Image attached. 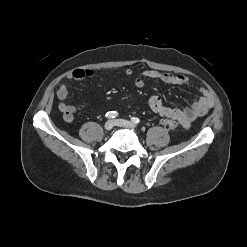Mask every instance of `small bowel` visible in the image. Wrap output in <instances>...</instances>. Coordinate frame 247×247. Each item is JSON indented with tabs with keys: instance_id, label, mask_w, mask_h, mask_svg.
<instances>
[{
	"instance_id": "1",
	"label": "small bowel",
	"mask_w": 247,
	"mask_h": 247,
	"mask_svg": "<svg viewBox=\"0 0 247 247\" xmlns=\"http://www.w3.org/2000/svg\"><path fill=\"white\" fill-rule=\"evenodd\" d=\"M93 74V71L90 69H75L68 74L67 79L82 80L84 78L92 77ZM124 74L126 76H131L132 71L126 69ZM146 80L160 81L170 85H188L190 82L187 77L182 75L147 70L134 77V84L136 87L142 88L145 85ZM199 91L201 96L194 100L191 106L184 109L164 106L158 96L150 97L148 104L154 113L175 120L183 127L188 128L197 118L205 115L213 107V100L208 90L200 88ZM56 95L59 99L58 108L63 114L64 121L71 123L74 119V114L77 111V108L66 102L68 97V86L66 82L63 81L58 84Z\"/></svg>"
}]
</instances>
